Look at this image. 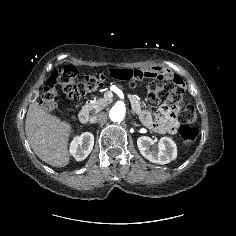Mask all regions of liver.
Here are the masks:
<instances>
[{
  "label": "liver",
  "instance_id": "1",
  "mask_svg": "<svg viewBox=\"0 0 236 236\" xmlns=\"http://www.w3.org/2000/svg\"><path fill=\"white\" fill-rule=\"evenodd\" d=\"M25 132L35 154L54 167L69 164V136L72 126L55 115L47 113L36 100L29 105Z\"/></svg>",
  "mask_w": 236,
  "mask_h": 236
}]
</instances>
